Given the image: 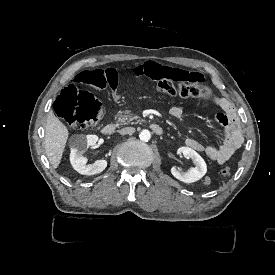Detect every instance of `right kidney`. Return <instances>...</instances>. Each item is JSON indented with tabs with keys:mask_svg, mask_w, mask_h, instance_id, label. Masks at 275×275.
<instances>
[{
	"mask_svg": "<svg viewBox=\"0 0 275 275\" xmlns=\"http://www.w3.org/2000/svg\"><path fill=\"white\" fill-rule=\"evenodd\" d=\"M97 141L98 137L96 135L76 134L70 138V162L78 173L82 175H95L106 169V160H98L94 163L87 164L88 159L83 157L84 151L90 146H94Z\"/></svg>",
	"mask_w": 275,
	"mask_h": 275,
	"instance_id": "obj_1",
	"label": "right kidney"
}]
</instances>
